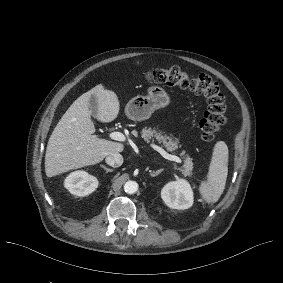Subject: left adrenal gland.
<instances>
[{
	"instance_id": "1",
	"label": "left adrenal gland",
	"mask_w": 283,
	"mask_h": 283,
	"mask_svg": "<svg viewBox=\"0 0 283 283\" xmlns=\"http://www.w3.org/2000/svg\"><path fill=\"white\" fill-rule=\"evenodd\" d=\"M163 171V169H159V170H157V171H149L150 172V175L152 176V177H155V176H157V175H159L161 172Z\"/></svg>"
}]
</instances>
